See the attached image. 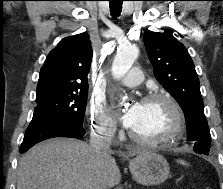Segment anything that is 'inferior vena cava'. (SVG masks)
I'll return each instance as SVG.
<instances>
[{
	"label": "inferior vena cava",
	"mask_w": 223,
	"mask_h": 189,
	"mask_svg": "<svg viewBox=\"0 0 223 189\" xmlns=\"http://www.w3.org/2000/svg\"><path fill=\"white\" fill-rule=\"evenodd\" d=\"M114 136V130L103 126H97L90 134V147L97 154H106L110 149V144Z\"/></svg>",
	"instance_id": "1"
}]
</instances>
